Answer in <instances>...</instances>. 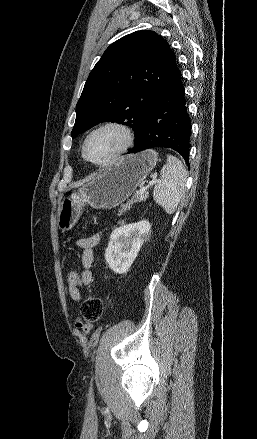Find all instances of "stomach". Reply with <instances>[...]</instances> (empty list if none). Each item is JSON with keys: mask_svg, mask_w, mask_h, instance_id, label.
Segmentation results:
<instances>
[{"mask_svg": "<svg viewBox=\"0 0 257 439\" xmlns=\"http://www.w3.org/2000/svg\"><path fill=\"white\" fill-rule=\"evenodd\" d=\"M157 160V153L151 149L127 155L79 188L78 192L63 197L57 213L59 229L63 232L70 230L86 205L111 209L124 202L155 167Z\"/></svg>", "mask_w": 257, "mask_h": 439, "instance_id": "1", "label": "stomach"}]
</instances>
